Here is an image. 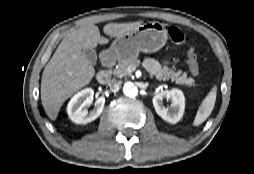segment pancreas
I'll return each instance as SVG.
<instances>
[{
	"label": "pancreas",
	"mask_w": 254,
	"mask_h": 174,
	"mask_svg": "<svg viewBox=\"0 0 254 174\" xmlns=\"http://www.w3.org/2000/svg\"><path fill=\"white\" fill-rule=\"evenodd\" d=\"M139 63L140 61L136 58L120 60L112 73L118 78L131 76L133 68L137 67ZM129 67H131L130 71ZM155 77L157 80H171L176 84L188 87L195 86V80L193 78L188 77L186 73H182L180 70L176 72L175 68H169L167 66H163Z\"/></svg>",
	"instance_id": "pancreas-1"
}]
</instances>
